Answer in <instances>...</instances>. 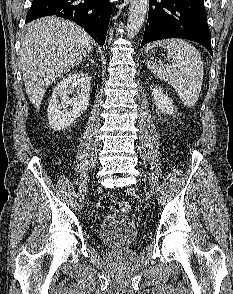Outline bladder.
I'll use <instances>...</instances> for the list:
<instances>
[{"label": "bladder", "mask_w": 233, "mask_h": 294, "mask_svg": "<svg viewBox=\"0 0 233 294\" xmlns=\"http://www.w3.org/2000/svg\"><path fill=\"white\" fill-rule=\"evenodd\" d=\"M136 223L127 215L111 214L101 223L98 230L100 241L108 248L126 250L136 241Z\"/></svg>", "instance_id": "obj_1"}]
</instances>
